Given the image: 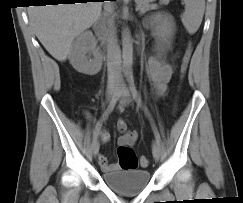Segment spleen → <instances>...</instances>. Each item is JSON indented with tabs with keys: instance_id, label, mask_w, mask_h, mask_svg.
<instances>
[{
	"instance_id": "1",
	"label": "spleen",
	"mask_w": 243,
	"mask_h": 203,
	"mask_svg": "<svg viewBox=\"0 0 243 203\" xmlns=\"http://www.w3.org/2000/svg\"><path fill=\"white\" fill-rule=\"evenodd\" d=\"M185 3V12L181 20L189 34H194L199 29L204 11L205 0H183Z\"/></svg>"
}]
</instances>
